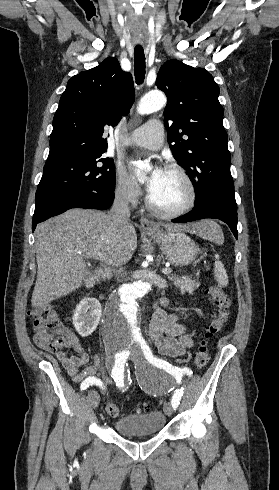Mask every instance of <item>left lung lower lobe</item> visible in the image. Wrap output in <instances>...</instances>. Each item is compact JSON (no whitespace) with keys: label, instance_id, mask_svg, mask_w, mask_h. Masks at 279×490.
<instances>
[{"label":"left lung lower lobe","instance_id":"1","mask_svg":"<svg viewBox=\"0 0 279 490\" xmlns=\"http://www.w3.org/2000/svg\"><path fill=\"white\" fill-rule=\"evenodd\" d=\"M237 204L230 203L226 198L220 196H206L202 203L195 206L194 209L176 219L173 222L186 223L205 218L220 219L230 227L236 239L237 232Z\"/></svg>","mask_w":279,"mask_h":490}]
</instances>
